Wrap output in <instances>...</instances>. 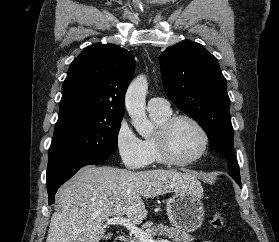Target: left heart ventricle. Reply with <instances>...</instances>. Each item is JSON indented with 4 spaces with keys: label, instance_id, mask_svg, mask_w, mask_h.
<instances>
[{
    "label": "left heart ventricle",
    "instance_id": "obj_1",
    "mask_svg": "<svg viewBox=\"0 0 279 242\" xmlns=\"http://www.w3.org/2000/svg\"><path fill=\"white\" fill-rule=\"evenodd\" d=\"M202 147V137L194 125L187 121L177 122L170 133V148L180 160L194 157Z\"/></svg>",
    "mask_w": 279,
    "mask_h": 242
}]
</instances>
